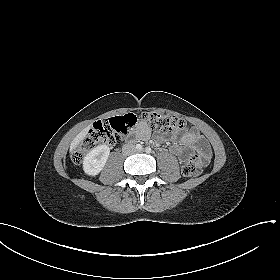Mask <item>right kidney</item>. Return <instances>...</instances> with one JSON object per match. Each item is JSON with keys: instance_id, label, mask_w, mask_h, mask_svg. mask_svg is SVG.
Instances as JSON below:
<instances>
[{"instance_id": "ca27d5eb", "label": "right kidney", "mask_w": 280, "mask_h": 280, "mask_svg": "<svg viewBox=\"0 0 280 280\" xmlns=\"http://www.w3.org/2000/svg\"><path fill=\"white\" fill-rule=\"evenodd\" d=\"M110 154L107 145H99L92 149L83 160V170L89 176L98 175L105 166Z\"/></svg>"}]
</instances>
